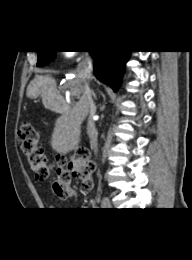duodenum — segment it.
<instances>
[{
	"mask_svg": "<svg viewBox=\"0 0 192 260\" xmlns=\"http://www.w3.org/2000/svg\"><path fill=\"white\" fill-rule=\"evenodd\" d=\"M56 108L59 112H68L69 111V107L62 101H58L56 103Z\"/></svg>",
	"mask_w": 192,
	"mask_h": 260,
	"instance_id": "410a0bca",
	"label": "duodenum"
}]
</instances>
